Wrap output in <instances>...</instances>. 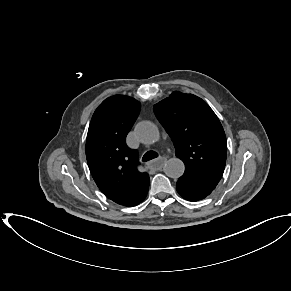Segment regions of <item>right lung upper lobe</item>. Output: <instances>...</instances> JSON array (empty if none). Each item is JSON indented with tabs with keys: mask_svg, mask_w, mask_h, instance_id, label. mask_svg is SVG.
<instances>
[{
	"mask_svg": "<svg viewBox=\"0 0 291 291\" xmlns=\"http://www.w3.org/2000/svg\"><path fill=\"white\" fill-rule=\"evenodd\" d=\"M132 97L114 95L95 110L86 139L89 169L102 193L123 206H136L147 196L149 175L138 171V153L125 142L139 112Z\"/></svg>",
	"mask_w": 291,
	"mask_h": 291,
	"instance_id": "cb5924a9",
	"label": "right lung upper lobe"
}]
</instances>
